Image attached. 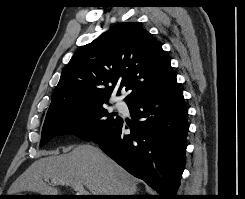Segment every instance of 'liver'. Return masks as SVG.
Wrapping results in <instances>:
<instances>
[{
    "label": "liver",
    "instance_id": "1",
    "mask_svg": "<svg viewBox=\"0 0 245 199\" xmlns=\"http://www.w3.org/2000/svg\"><path fill=\"white\" fill-rule=\"evenodd\" d=\"M79 182L91 195H134L137 181L100 149L83 144L68 154L48 156L35 161L10 187L9 193L32 191L58 195L47 183Z\"/></svg>",
    "mask_w": 245,
    "mask_h": 199
}]
</instances>
